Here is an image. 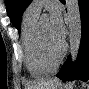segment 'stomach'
I'll return each mask as SVG.
<instances>
[{
	"label": "stomach",
	"instance_id": "0dacf381",
	"mask_svg": "<svg viewBox=\"0 0 89 89\" xmlns=\"http://www.w3.org/2000/svg\"><path fill=\"white\" fill-rule=\"evenodd\" d=\"M51 89H62V86L60 85V84H58V85H55L53 88H51Z\"/></svg>",
	"mask_w": 89,
	"mask_h": 89
}]
</instances>
